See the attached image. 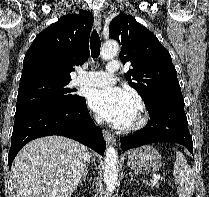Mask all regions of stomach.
<instances>
[{"label":"stomach","mask_w":209,"mask_h":197,"mask_svg":"<svg viewBox=\"0 0 209 197\" xmlns=\"http://www.w3.org/2000/svg\"><path fill=\"white\" fill-rule=\"evenodd\" d=\"M127 164L137 172L155 173L162 166V158L152 146H143L129 153Z\"/></svg>","instance_id":"stomach-1"}]
</instances>
